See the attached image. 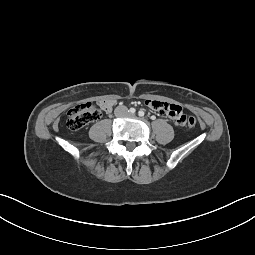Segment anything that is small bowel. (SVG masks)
Segmentation results:
<instances>
[{
	"label": "small bowel",
	"mask_w": 255,
	"mask_h": 255,
	"mask_svg": "<svg viewBox=\"0 0 255 255\" xmlns=\"http://www.w3.org/2000/svg\"><path fill=\"white\" fill-rule=\"evenodd\" d=\"M145 103L151 109L166 116L176 128H181L188 122L187 115L184 114L183 109L178 105L158 100H147ZM115 104L116 101L114 99H105L99 102V106L106 113H110Z\"/></svg>",
	"instance_id": "c3829d8e"
}]
</instances>
